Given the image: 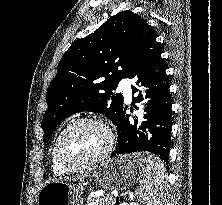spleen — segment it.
Instances as JSON below:
<instances>
[{"instance_id": "3e777b00", "label": "spleen", "mask_w": 222, "mask_h": 205, "mask_svg": "<svg viewBox=\"0 0 222 205\" xmlns=\"http://www.w3.org/2000/svg\"><path fill=\"white\" fill-rule=\"evenodd\" d=\"M142 175L137 190L139 197L146 205H162L167 183L166 169L162 161L151 154L141 159Z\"/></svg>"}]
</instances>
